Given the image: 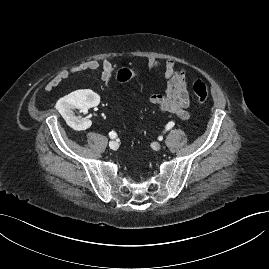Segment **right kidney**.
I'll return each instance as SVG.
<instances>
[{"mask_svg":"<svg viewBox=\"0 0 269 269\" xmlns=\"http://www.w3.org/2000/svg\"><path fill=\"white\" fill-rule=\"evenodd\" d=\"M99 101V95L92 90H77L59 99L56 109L69 126L86 129L91 126V121L75 116L72 110L77 108L86 111L88 108L98 105Z\"/></svg>","mask_w":269,"mask_h":269,"instance_id":"obj_1","label":"right kidney"}]
</instances>
